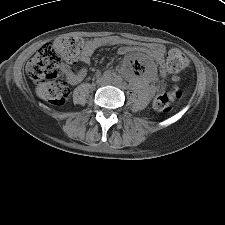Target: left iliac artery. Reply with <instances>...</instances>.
<instances>
[{"instance_id": "44dca946", "label": "left iliac artery", "mask_w": 225, "mask_h": 225, "mask_svg": "<svg viewBox=\"0 0 225 225\" xmlns=\"http://www.w3.org/2000/svg\"><path fill=\"white\" fill-rule=\"evenodd\" d=\"M118 82L122 83L123 79L120 76H116L115 78Z\"/></svg>"}]
</instances>
